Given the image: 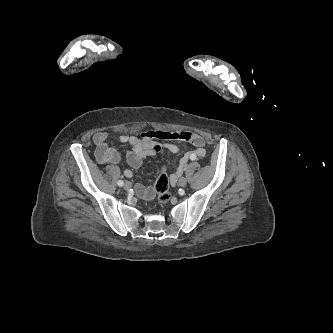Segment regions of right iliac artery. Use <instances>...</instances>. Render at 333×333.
<instances>
[{
	"label": "right iliac artery",
	"mask_w": 333,
	"mask_h": 333,
	"mask_svg": "<svg viewBox=\"0 0 333 333\" xmlns=\"http://www.w3.org/2000/svg\"><path fill=\"white\" fill-rule=\"evenodd\" d=\"M119 186H123L124 185V182L122 180H119L118 183H117Z\"/></svg>",
	"instance_id": "1"
}]
</instances>
